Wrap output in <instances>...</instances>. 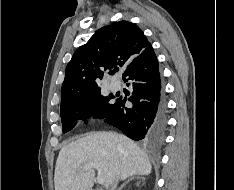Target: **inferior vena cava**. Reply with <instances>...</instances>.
Segmentation results:
<instances>
[{"label":"inferior vena cava","mask_w":234,"mask_h":190,"mask_svg":"<svg viewBox=\"0 0 234 190\" xmlns=\"http://www.w3.org/2000/svg\"><path fill=\"white\" fill-rule=\"evenodd\" d=\"M118 179H115L110 186V190H115L117 187Z\"/></svg>","instance_id":"1"}]
</instances>
